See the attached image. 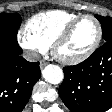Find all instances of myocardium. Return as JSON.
<instances>
[{
	"label": "myocardium",
	"instance_id": "f54148a6",
	"mask_svg": "<svg viewBox=\"0 0 112 112\" xmlns=\"http://www.w3.org/2000/svg\"><path fill=\"white\" fill-rule=\"evenodd\" d=\"M85 18H90L92 19L97 27V34L95 37V40L93 41L92 45L89 47L87 51H85L83 54L73 57V58H65L59 55L58 49L60 45L69 37L71 34L72 30L74 27L82 20ZM103 36V28L102 24L99 21V19L92 15V14H81L75 19H73L71 22H69L63 29L62 31L56 36V38L52 42V53L56 58H58L60 61L67 63V64H79L85 60H87L99 47L100 42L102 40Z\"/></svg>",
	"mask_w": 112,
	"mask_h": 112
}]
</instances>
